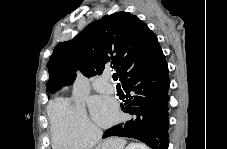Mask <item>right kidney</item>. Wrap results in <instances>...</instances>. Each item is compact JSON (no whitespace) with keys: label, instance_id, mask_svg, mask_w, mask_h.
Returning <instances> with one entry per match:
<instances>
[{"label":"right kidney","instance_id":"obj_1","mask_svg":"<svg viewBox=\"0 0 227 149\" xmlns=\"http://www.w3.org/2000/svg\"><path fill=\"white\" fill-rule=\"evenodd\" d=\"M126 149H147V147L142 144H130Z\"/></svg>","mask_w":227,"mask_h":149}]
</instances>
